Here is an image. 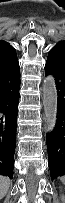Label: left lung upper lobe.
I'll return each instance as SVG.
<instances>
[{"mask_svg": "<svg viewBox=\"0 0 65 203\" xmlns=\"http://www.w3.org/2000/svg\"><path fill=\"white\" fill-rule=\"evenodd\" d=\"M58 44L65 45V42H60V43H58Z\"/></svg>", "mask_w": 65, "mask_h": 203, "instance_id": "1", "label": "left lung upper lobe"}]
</instances>
